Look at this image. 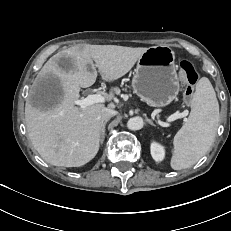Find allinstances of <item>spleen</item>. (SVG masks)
<instances>
[{"instance_id": "obj_1", "label": "spleen", "mask_w": 231, "mask_h": 231, "mask_svg": "<svg viewBox=\"0 0 231 231\" xmlns=\"http://www.w3.org/2000/svg\"><path fill=\"white\" fill-rule=\"evenodd\" d=\"M219 123V104L209 79L202 77L191 102V112L174 137L171 167L182 170L193 166L212 145Z\"/></svg>"}]
</instances>
